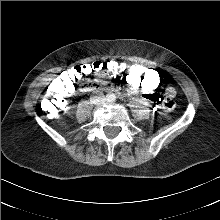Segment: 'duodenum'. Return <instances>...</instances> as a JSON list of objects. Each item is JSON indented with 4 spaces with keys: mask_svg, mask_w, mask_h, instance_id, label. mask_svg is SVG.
<instances>
[{
    "mask_svg": "<svg viewBox=\"0 0 220 220\" xmlns=\"http://www.w3.org/2000/svg\"><path fill=\"white\" fill-rule=\"evenodd\" d=\"M82 88H83L84 90L90 91V90H92V89H96V88H99V87L89 86V85L83 84V85H82Z\"/></svg>",
    "mask_w": 220,
    "mask_h": 220,
    "instance_id": "1",
    "label": "duodenum"
}]
</instances>
